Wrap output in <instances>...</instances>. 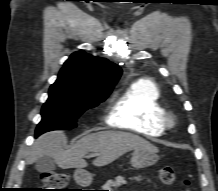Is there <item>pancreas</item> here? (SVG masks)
<instances>
[{
  "label": "pancreas",
  "instance_id": "1",
  "mask_svg": "<svg viewBox=\"0 0 218 191\" xmlns=\"http://www.w3.org/2000/svg\"><path fill=\"white\" fill-rule=\"evenodd\" d=\"M135 179L137 181H140L141 177H137ZM125 183H126V180L124 179V177L118 176L115 178V180H108L106 182V184L104 185L105 188H103V189H108L109 191H111L113 187H116V186H119V185L125 184Z\"/></svg>",
  "mask_w": 218,
  "mask_h": 191
}]
</instances>
